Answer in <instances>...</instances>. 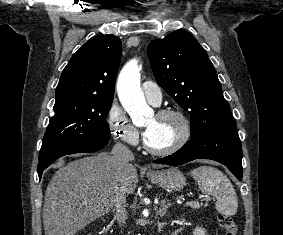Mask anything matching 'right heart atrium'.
Returning a JSON list of instances; mask_svg holds the SVG:
<instances>
[{
	"label": "right heart atrium",
	"mask_w": 283,
	"mask_h": 235,
	"mask_svg": "<svg viewBox=\"0 0 283 235\" xmlns=\"http://www.w3.org/2000/svg\"><path fill=\"white\" fill-rule=\"evenodd\" d=\"M107 121L111 134L116 140L126 145L137 144L139 140V131L117 102L111 104L107 115Z\"/></svg>",
	"instance_id": "right-heart-atrium-1"
}]
</instances>
